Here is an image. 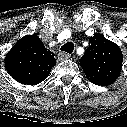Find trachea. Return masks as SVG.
I'll return each mask as SVG.
<instances>
[{
  "mask_svg": "<svg viewBox=\"0 0 127 127\" xmlns=\"http://www.w3.org/2000/svg\"><path fill=\"white\" fill-rule=\"evenodd\" d=\"M60 50L71 54L74 50V44L72 42H67L61 47Z\"/></svg>",
  "mask_w": 127,
  "mask_h": 127,
  "instance_id": "obj_1",
  "label": "trachea"
}]
</instances>
